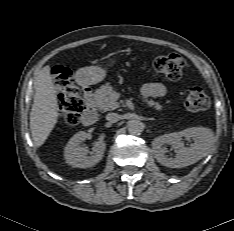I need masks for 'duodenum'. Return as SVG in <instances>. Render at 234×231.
<instances>
[{
	"instance_id": "duodenum-1",
	"label": "duodenum",
	"mask_w": 234,
	"mask_h": 231,
	"mask_svg": "<svg viewBox=\"0 0 234 231\" xmlns=\"http://www.w3.org/2000/svg\"><path fill=\"white\" fill-rule=\"evenodd\" d=\"M83 97L86 106L82 113V122L85 125L94 124L98 119V112L93 102V92L90 86H83Z\"/></svg>"
}]
</instances>
